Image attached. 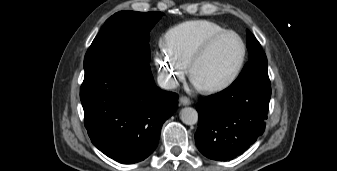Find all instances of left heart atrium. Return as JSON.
Masks as SVG:
<instances>
[{"label":"left heart atrium","mask_w":337,"mask_h":171,"mask_svg":"<svg viewBox=\"0 0 337 171\" xmlns=\"http://www.w3.org/2000/svg\"><path fill=\"white\" fill-rule=\"evenodd\" d=\"M193 80H194V79H193ZM194 84H195L196 87H199V88L202 87V86H201L197 81H195V80H194Z\"/></svg>","instance_id":"obj_1"}]
</instances>
